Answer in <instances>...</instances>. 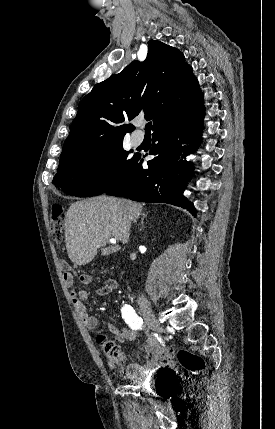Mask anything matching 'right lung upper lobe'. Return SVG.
<instances>
[{"label":"right lung upper lobe","mask_w":275,"mask_h":429,"mask_svg":"<svg viewBox=\"0 0 275 429\" xmlns=\"http://www.w3.org/2000/svg\"><path fill=\"white\" fill-rule=\"evenodd\" d=\"M202 110V93L183 54L151 40L144 62L133 61L82 99L59 164L123 139L134 129L123 122L141 113L153 119L155 132Z\"/></svg>","instance_id":"right-lung-upper-lobe-1"}]
</instances>
